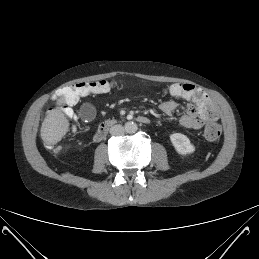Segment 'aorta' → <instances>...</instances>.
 Here are the masks:
<instances>
[{
  "mask_svg": "<svg viewBox=\"0 0 259 259\" xmlns=\"http://www.w3.org/2000/svg\"><path fill=\"white\" fill-rule=\"evenodd\" d=\"M138 130V126L134 122H127L125 123V131L129 134H134Z\"/></svg>",
  "mask_w": 259,
  "mask_h": 259,
  "instance_id": "762f6f07",
  "label": "aorta"
}]
</instances>
